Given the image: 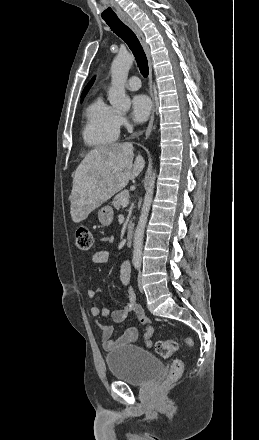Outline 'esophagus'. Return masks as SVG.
Wrapping results in <instances>:
<instances>
[{
	"instance_id": "34e87169",
	"label": "esophagus",
	"mask_w": 259,
	"mask_h": 440,
	"mask_svg": "<svg viewBox=\"0 0 259 440\" xmlns=\"http://www.w3.org/2000/svg\"><path fill=\"white\" fill-rule=\"evenodd\" d=\"M119 18L135 32V34L137 35V37H138V39H139V41L145 51L147 61H148V69H149L148 79H149V92H150V96L152 98V113H151L148 127L145 132V139H147L150 136V133L152 131L153 124H154V116H155V96H154V92H153L152 60H151V55H150V49H149L148 44L145 42L142 33L140 32L137 25L135 24V22L127 14H121L119 16Z\"/></svg>"
}]
</instances>
